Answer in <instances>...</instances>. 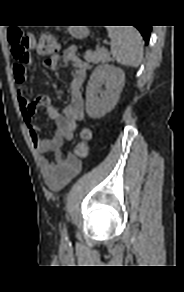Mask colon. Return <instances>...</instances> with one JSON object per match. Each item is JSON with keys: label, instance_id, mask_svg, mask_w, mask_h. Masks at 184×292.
Wrapping results in <instances>:
<instances>
[{"label": "colon", "instance_id": "5ec220e1", "mask_svg": "<svg viewBox=\"0 0 184 292\" xmlns=\"http://www.w3.org/2000/svg\"><path fill=\"white\" fill-rule=\"evenodd\" d=\"M8 39L11 45L13 57L21 64H26L29 58L28 49L31 47L33 38L21 28L11 27L8 30ZM59 49L55 37L51 33L41 35L37 44V51L41 55H53ZM91 131L87 128L80 133V141L74 149V157L84 158L88 155Z\"/></svg>", "mask_w": 184, "mask_h": 292}]
</instances>
